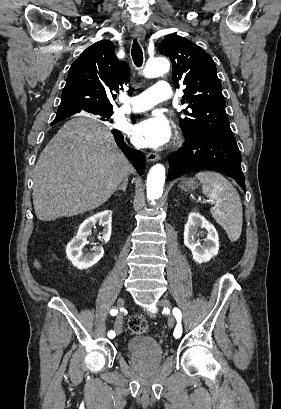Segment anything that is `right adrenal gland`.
<instances>
[{
	"instance_id": "2a0ac1e0",
	"label": "right adrenal gland",
	"mask_w": 281,
	"mask_h": 409,
	"mask_svg": "<svg viewBox=\"0 0 281 409\" xmlns=\"http://www.w3.org/2000/svg\"><path fill=\"white\" fill-rule=\"evenodd\" d=\"M127 184H128V178H125V180H123V184H120L119 188H116L115 192H117V190H123V192H125L127 188Z\"/></svg>"
}]
</instances>
